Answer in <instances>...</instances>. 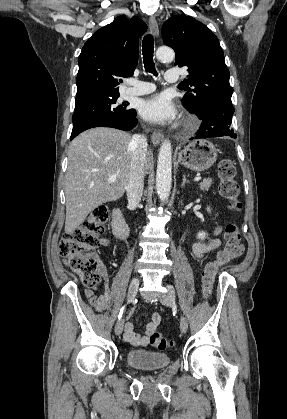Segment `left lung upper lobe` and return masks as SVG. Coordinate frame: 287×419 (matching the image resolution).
I'll return each mask as SVG.
<instances>
[{"instance_id":"obj_1","label":"left lung upper lobe","mask_w":287,"mask_h":419,"mask_svg":"<svg viewBox=\"0 0 287 419\" xmlns=\"http://www.w3.org/2000/svg\"><path fill=\"white\" fill-rule=\"evenodd\" d=\"M164 43L176 54L175 65L188 67L184 106L193 113L201 112L213 100H231L229 70L217 37L193 17L178 15L169 18L162 27Z\"/></svg>"}]
</instances>
